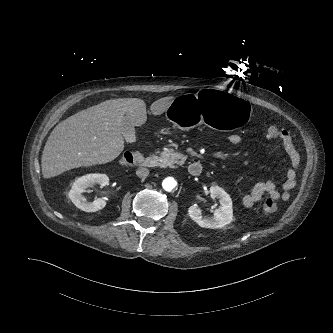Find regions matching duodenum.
Here are the masks:
<instances>
[{
    "label": "duodenum",
    "mask_w": 333,
    "mask_h": 333,
    "mask_svg": "<svg viewBox=\"0 0 333 333\" xmlns=\"http://www.w3.org/2000/svg\"><path fill=\"white\" fill-rule=\"evenodd\" d=\"M159 164V160L156 157L150 156L141 159L139 166L141 168H155ZM203 167L200 162L193 161L188 166V172L192 176H199L202 173Z\"/></svg>",
    "instance_id": "obj_1"
}]
</instances>
